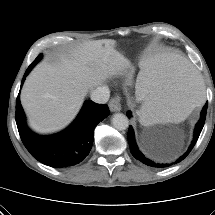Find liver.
<instances>
[{"label":"liver","mask_w":215,"mask_h":215,"mask_svg":"<svg viewBox=\"0 0 215 215\" xmlns=\"http://www.w3.org/2000/svg\"><path fill=\"white\" fill-rule=\"evenodd\" d=\"M111 39L80 44L55 62L38 64L27 77L21 104L29 126L51 133L67 126L79 112L84 96L109 76L128 66Z\"/></svg>","instance_id":"1"}]
</instances>
